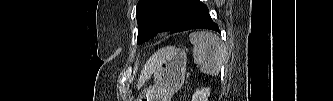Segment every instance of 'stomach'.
<instances>
[{"label":"stomach","instance_id":"0dacf381","mask_svg":"<svg viewBox=\"0 0 333 101\" xmlns=\"http://www.w3.org/2000/svg\"><path fill=\"white\" fill-rule=\"evenodd\" d=\"M158 60L154 84L144 89L138 101H170L184 82L187 62L184 50L173 46L163 48L158 53Z\"/></svg>","mask_w":333,"mask_h":101}]
</instances>
